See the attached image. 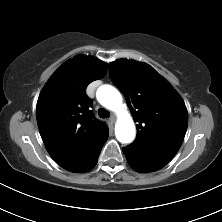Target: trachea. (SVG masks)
<instances>
[{"instance_id":"3493384b","label":"trachea","mask_w":222,"mask_h":222,"mask_svg":"<svg viewBox=\"0 0 222 222\" xmlns=\"http://www.w3.org/2000/svg\"><path fill=\"white\" fill-rule=\"evenodd\" d=\"M98 115H99V117H101V118H108V117L110 116V113H109L106 109L100 108V109L98 110Z\"/></svg>"}]
</instances>
